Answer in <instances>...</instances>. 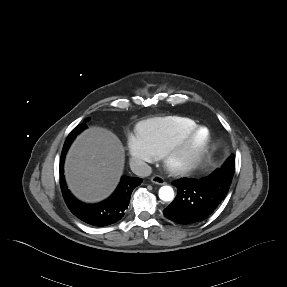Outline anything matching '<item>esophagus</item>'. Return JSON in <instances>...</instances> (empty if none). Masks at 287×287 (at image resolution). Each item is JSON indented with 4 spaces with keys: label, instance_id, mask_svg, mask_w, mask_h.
I'll return each instance as SVG.
<instances>
[{
    "label": "esophagus",
    "instance_id": "obj_1",
    "mask_svg": "<svg viewBox=\"0 0 287 287\" xmlns=\"http://www.w3.org/2000/svg\"><path fill=\"white\" fill-rule=\"evenodd\" d=\"M151 182L157 185H164L165 181L161 176L155 175L151 177Z\"/></svg>",
    "mask_w": 287,
    "mask_h": 287
}]
</instances>
